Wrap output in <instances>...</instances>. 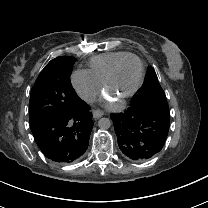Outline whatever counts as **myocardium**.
Segmentation results:
<instances>
[{"label": "myocardium", "mask_w": 208, "mask_h": 208, "mask_svg": "<svg viewBox=\"0 0 208 208\" xmlns=\"http://www.w3.org/2000/svg\"><path fill=\"white\" fill-rule=\"evenodd\" d=\"M127 58H134L138 61L139 66H140V78H139V81H138L137 85L135 86V88L132 91H130L129 93H127L123 96L117 97V96H115L111 93L110 86L113 82V79H114V76H115V73H116L118 67ZM144 79H145V67H144V63H143L142 59L139 56H137L133 53H127L125 56L118 59L113 64V66L111 67L105 81L102 84V90H103L104 94L112 96L116 101H119L121 104H123V103L126 102V100L132 98L134 95L137 94V92L141 89V87L144 83Z\"/></svg>", "instance_id": "myocardium-1"}]
</instances>
